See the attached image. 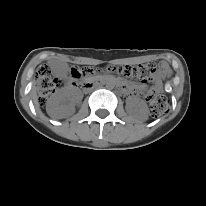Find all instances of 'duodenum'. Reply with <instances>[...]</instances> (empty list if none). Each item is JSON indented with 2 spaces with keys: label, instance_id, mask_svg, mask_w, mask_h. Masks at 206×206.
<instances>
[{
  "label": "duodenum",
  "instance_id": "1",
  "mask_svg": "<svg viewBox=\"0 0 206 206\" xmlns=\"http://www.w3.org/2000/svg\"><path fill=\"white\" fill-rule=\"evenodd\" d=\"M104 79H97L95 81H90L84 83L83 81H79L78 79H73L72 80V85L76 86L77 88H84L85 90H90L93 88V85L95 82H102ZM118 88L119 89H124L125 88V83L124 82H118Z\"/></svg>",
  "mask_w": 206,
  "mask_h": 206
}]
</instances>
